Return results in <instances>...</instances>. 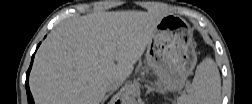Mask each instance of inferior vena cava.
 I'll use <instances>...</instances> for the list:
<instances>
[{"mask_svg": "<svg viewBox=\"0 0 252 104\" xmlns=\"http://www.w3.org/2000/svg\"><path fill=\"white\" fill-rule=\"evenodd\" d=\"M121 81L120 80H110L108 83H107V86H106V90L108 92H114L116 91L120 86H121Z\"/></svg>", "mask_w": 252, "mask_h": 104, "instance_id": "1", "label": "inferior vena cava"}]
</instances>
